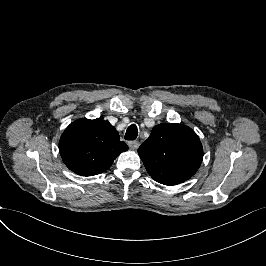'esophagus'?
<instances>
[{
    "instance_id": "1",
    "label": "esophagus",
    "mask_w": 266,
    "mask_h": 266,
    "mask_svg": "<svg viewBox=\"0 0 266 266\" xmlns=\"http://www.w3.org/2000/svg\"><path fill=\"white\" fill-rule=\"evenodd\" d=\"M127 145L129 146L130 149L135 150L139 147V142L138 141H128Z\"/></svg>"
}]
</instances>
